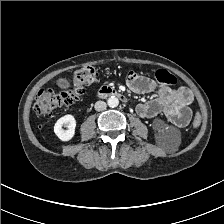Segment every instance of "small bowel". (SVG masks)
I'll return each instance as SVG.
<instances>
[{
    "mask_svg": "<svg viewBox=\"0 0 224 224\" xmlns=\"http://www.w3.org/2000/svg\"><path fill=\"white\" fill-rule=\"evenodd\" d=\"M126 81L128 87L139 94L149 93L155 88L152 81L135 72H130ZM56 84L61 89L69 87L65 79L58 80ZM193 98L192 90L187 87L173 89L162 86L158 89L155 99L139 104L136 111L144 118H152L164 113L172 124L182 128L187 126L190 121L191 112L188 106L192 103Z\"/></svg>",
    "mask_w": 224,
    "mask_h": 224,
    "instance_id": "c3829d8e",
    "label": "small bowel"
}]
</instances>
